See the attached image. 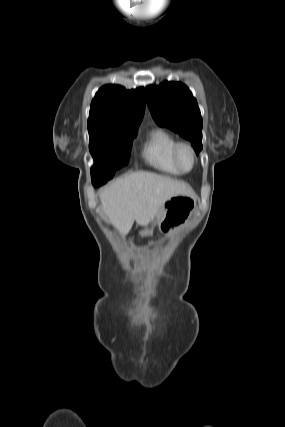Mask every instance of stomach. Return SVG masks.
I'll use <instances>...</instances> for the list:
<instances>
[{
  "instance_id": "0dacf381",
  "label": "stomach",
  "mask_w": 285,
  "mask_h": 427,
  "mask_svg": "<svg viewBox=\"0 0 285 427\" xmlns=\"http://www.w3.org/2000/svg\"><path fill=\"white\" fill-rule=\"evenodd\" d=\"M195 209L196 202L193 198L184 195L174 196L163 205L156 216L155 223L162 232H171L185 224ZM143 234H152V231L146 230Z\"/></svg>"
}]
</instances>
